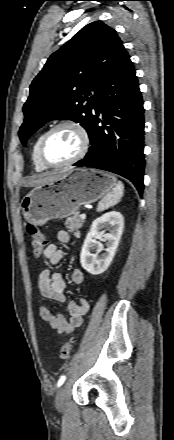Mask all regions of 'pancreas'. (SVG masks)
<instances>
[{
  "label": "pancreas",
  "instance_id": "1",
  "mask_svg": "<svg viewBox=\"0 0 174 440\" xmlns=\"http://www.w3.org/2000/svg\"><path fill=\"white\" fill-rule=\"evenodd\" d=\"M83 221L79 217V212L74 213L71 217L65 221V226L69 232L74 233L75 237H80V229L82 228Z\"/></svg>",
  "mask_w": 174,
  "mask_h": 440
}]
</instances>
